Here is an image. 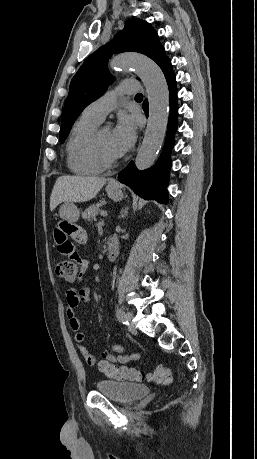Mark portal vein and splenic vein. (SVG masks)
Here are the masks:
<instances>
[{
	"label": "portal vein and splenic vein",
	"mask_w": 257,
	"mask_h": 459,
	"mask_svg": "<svg viewBox=\"0 0 257 459\" xmlns=\"http://www.w3.org/2000/svg\"><path fill=\"white\" fill-rule=\"evenodd\" d=\"M101 215H102L103 217H106L108 214H107V212L102 211V212H101Z\"/></svg>",
	"instance_id": "obj_1"
}]
</instances>
